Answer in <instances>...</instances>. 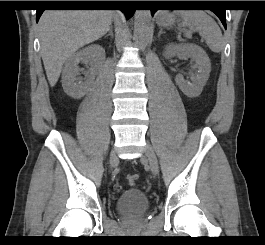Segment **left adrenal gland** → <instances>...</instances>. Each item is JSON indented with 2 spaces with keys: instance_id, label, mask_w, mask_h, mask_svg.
<instances>
[{
  "instance_id": "a2214340",
  "label": "left adrenal gland",
  "mask_w": 265,
  "mask_h": 245,
  "mask_svg": "<svg viewBox=\"0 0 265 245\" xmlns=\"http://www.w3.org/2000/svg\"><path fill=\"white\" fill-rule=\"evenodd\" d=\"M165 32L163 31V29L162 28H160V31H159V33H158V37H160L162 34H164Z\"/></svg>"
}]
</instances>
